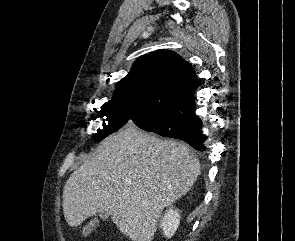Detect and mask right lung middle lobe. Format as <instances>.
I'll list each match as a JSON object with an SVG mask.
<instances>
[{
	"instance_id": "dd1d6c3e",
	"label": "right lung middle lobe",
	"mask_w": 295,
	"mask_h": 241,
	"mask_svg": "<svg viewBox=\"0 0 295 241\" xmlns=\"http://www.w3.org/2000/svg\"><path fill=\"white\" fill-rule=\"evenodd\" d=\"M164 114L132 102L112 99L103 104L99 111V117L103 118V125L93 135V138L100 141L132 122L139 128L145 127L157 121Z\"/></svg>"
}]
</instances>
